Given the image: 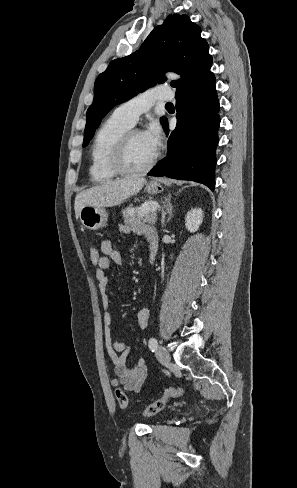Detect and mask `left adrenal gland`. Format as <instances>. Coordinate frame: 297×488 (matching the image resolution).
<instances>
[{
    "mask_svg": "<svg viewBox=\"0 0 297 488\" xmlns=\"http://www.w3.org/2000/svg\"><path fill=\"white\" fill-rule=\"evenodd\" d=\"M171 201V196L169 195L167 198H165V202H164V206H163V214H168V219L167 221H169L171 219V216H172V204L170 203Z\"/></svg>",
    "mask_w": 297,
    "mask_h": 488,
    "instance_id": "left-adrenal-gland-1",
    "label": "left adrenal gland"
}]
</instances>
